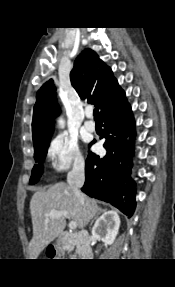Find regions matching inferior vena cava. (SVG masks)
<instances>
[{
	"mask_svg": "<svg viewBox=\"0 0 175 287\" xmlns=\"http://www.w3.org/2000/svg\"><path fill=\"white\" fill-rule=\"evenodd\" d=\"M85 181V165L84 162H77L74 164L71 172L68 173L67 182L72 187L75 195L80 199L81 203L84 204V197L80 192V188L83 186Z\"/></svg>",
	"mask_w": 175,
	"mask_h": 287,
	"instance_id": "inferior-vena-cava-1",
	"label": "inferior vena cava"
}]
</instances>
